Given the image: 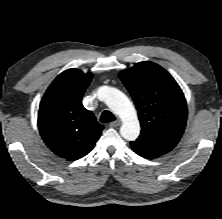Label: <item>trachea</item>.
<instances>
[{"label":"trachea","mask_w":222,"mask_h":219,"mask_svg":"<svg viewBox=\"0 0 222 219\" xmlns=\"http://www.w3.org/2000/svg\"><path fill=\"white\" fill-rule=\"evenodd\" d=\"M115 119H116L115 116L108 110H105L100 118L102 123H109L114 121Z\"/></svg>","instance_id":"1"}]
</instances>
